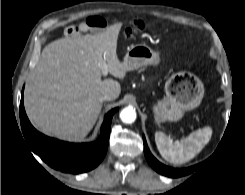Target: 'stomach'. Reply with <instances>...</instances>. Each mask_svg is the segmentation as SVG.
I'll list each match as a JSON object with an SVG mask.
<instances>
[{
    "instance_id": "1",
    "label": "stomach",
    "mask_w": 245,
    "mask_h": 195,
    "mask_svg": "<svg viewBox=\"0 0 245 195\" xmlns=\"http://www.w3.org/2000/svg\"><path fill=\"white\" fill-rule=\"evenodd\" d=\"M124 64L129 70L147 65H157L159 55L145 45H135L128 49ZM166 96L153 106L155 121H178L186 111L200 105L204 96V85L193 73L180 71L171 75L165 83Z\"/></svg>"
}]
</instances>
